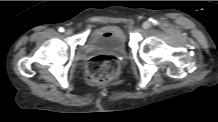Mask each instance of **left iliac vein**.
Instances as JSON below:
<instances>
[{
  "label": "left iliac vein",
  "instance_id": "4c4485c4",
  "mask_svg": "<svg viewBox=\"0 0 218 122\" xmlns=\"http://www.w3.org/2000/svg\"><path fill=\"white\" fill-rule=\"evenodd\" d=\"M142 27H143L144 29H148V28L151 27V23H150V22H144V23L142 24Z\"/></svg>",
  "mask_w": 218,
  "mask_h": 122
}]
</instances>
